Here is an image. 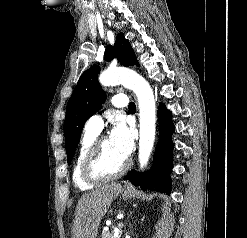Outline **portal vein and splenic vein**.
Segmentation results:
<instances>
[{
    "label": "portal vein and splenic vein",
    "instance_id": "portal-vein-and-splenic-vein-1",
    "mask_svg": "<svg viewBox=\"0 0 247 238\" xmlns=\"http://www.w3.org/2000/svg\"><path fill=\"white\" fill-rule=\"evenodd\" d=\"M121 227H123V223H122V222H120V223L118 224L117 228L115 229V235L118 234L119 228H121Z\"/></svg>",
    "mask_w": 247,
    "mask_h": 238
}]
</instances>
